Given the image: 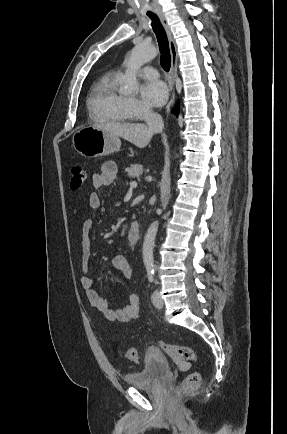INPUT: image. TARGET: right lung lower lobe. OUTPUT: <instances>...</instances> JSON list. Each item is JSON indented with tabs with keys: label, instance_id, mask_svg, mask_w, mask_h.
Masks as SVG:
<instances>
[{
	"label": "right lung lower lobe",
	"instance_id": "1",
	"mask_svg": "<svg viewBox=\"0 0 287 434\" xmlns=\"http://www.w3.org/2000/svg\"><path fill=\"white\" fill-rule=\"evenodd\" d=\"M176 113H177V114L179 113V108H178V107L176 108Z\"/></svg>",
	"mask_w": 287,
	"mask_h": 434
}]
</instances>
